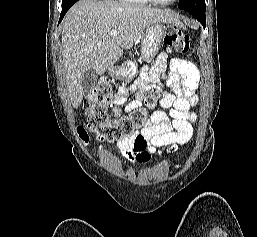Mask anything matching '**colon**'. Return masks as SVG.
I'll use <instances>...</instances> for the list:
<instances>
[{
	"instance_id": "obj_1",
	"label": "colon",
	"mask_w": 257,
	"mask_h": 237,
	"mask_svg": "<svg viewBox=\"0 0 257 237\" xmlns=\"http://www.w3.org/2000/svg\"><path fill=\"white\" fill-rule=\"evenodd\" d=\"M165 46L178 54H188L190 48V37L180 29L170 28L164 40ZM115 83L110 78H102L92 89L86 110V127L79 125L77 134L82 141L87 142L90 129L99 140L102 141H122L133 136L143 125L146 113L138 110L130 116L119 119H111L108 112L110 102L114 99ZM159 92L152 89L145 99V105L153 108L158 100Z\"/></svg>"
}]
</instances>
